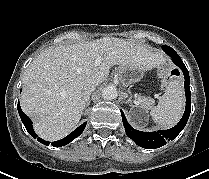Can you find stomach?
Listing matches in <instances>:
<instances>
[{
  "label": "stomach",
  "instance_id": "0dacf381",
  "mask_svg": "<svg viewBox=\"0 0 209 179\" xmlns=\"http://www.w3.org/2000/svg\"><path fill=\"white\" fill-rule=\"evenodd\" d=\"M119 80L124 87L130 86L132 83L140 81L144 76V70L135 66L119 67Z\"/></svg>",
  "mask_w": 209,
  "mask_h": 179
}]
</instances>
